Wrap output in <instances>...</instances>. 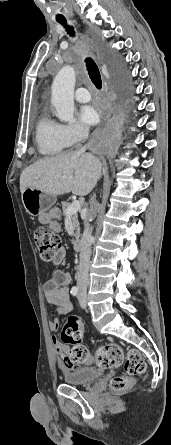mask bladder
<instances>
[{
    "label": "bladder",
    "mask_w": 171,
    "mask_h": 445,
    "mask_svg": "<svg viewBox=\"0 0 171 445\" xmlns=\"http://www.w3.org/2000/svg\"><path fill=\"white\" fill-rule=\"evenodd\" d=\"M103 375L101 369L95 367H81L65 372L63 379L70 385H88L99 380Z\"/></svg>",
    "instance_id": "obj_1"
}]
</instances>
